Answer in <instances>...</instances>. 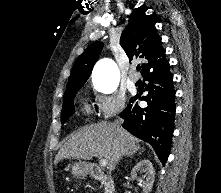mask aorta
<instances>
[{
    "label": "aorta",
    "instance_id": "aorta-1",
    "mask_svg": "<svg viewBox=\"0 0 221 193\" xmlns=\"http://www.w3.org/2000/svg\"><path fill=\"white\" fill-rule=\"evenodd\" d=\"M96 87L103 93H112L118 85L119 71L111 59H103L94 69Z\"/></svg>",
    "mask_w": 221,
    "mask_h": 193
}]
</instances>
